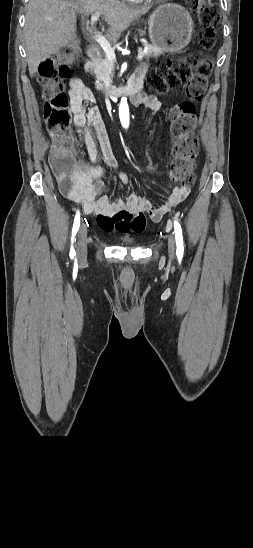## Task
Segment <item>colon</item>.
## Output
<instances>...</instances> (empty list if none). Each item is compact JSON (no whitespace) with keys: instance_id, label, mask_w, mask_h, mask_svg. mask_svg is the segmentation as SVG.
<instances>
[{"instance_id":"obj_1","label":"colon","mask_w":253,"mask_h":548,"mask_svg":"<svg viewBox=\"0 0 253 548\" xmlns=\"http://www.w3.org/2000/svg\"><path fill=\"white\" fill-rule=\"evenodd\" d=\"M198 13L203 29L201 46L210 49L220 22L219 12L211 0H187ZM75 48L44 60L39 66L38 81L45 100L44 122L53 140L51 167L57 179L67 184L75 171L72 158V140L69 134L71 110L64 91V81L69 74V65L75 59ZM210 61L199 54H189L182 58H170L160 63L146 77L149 89L159 94L184 84L188 101L179 105L171 114V132L174 137V159L170 175L182 184L192 185L195 181L194 158L198 142L193 135L197 123L195 102L200 101L207 90ZM147 171L157 172L156 162L144 163Z\"/></svg>"}]
</instances>
